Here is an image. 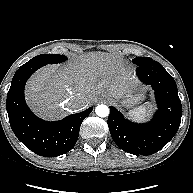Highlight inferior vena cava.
Masks as SVG:
<instances>
[{
	"mask_svg": "<svg viewBox=\"0 0 193 193\" xmlns=\"http://www.w3.org/2000/svg\"><path fill=\"white\" fill-rule=\"evenodd\" d=\"M68 105L72 108H83L85 105V100L81 97H71L69 100L66 102Z\"/></svg>",
	"mask_w": 193,
	"mask_h": 193,
	"instance_id": "602c4592",
	"label": "inferior vena cava"
}]
</instances>
